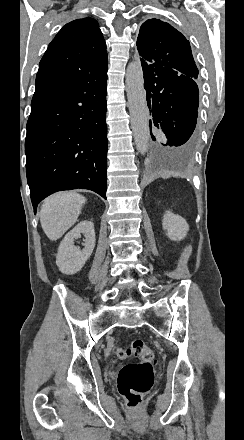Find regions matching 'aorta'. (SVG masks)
Wrapping results in <instances>:
<instances>
[{
	"label": "aorta",
	"mask_w": 244,
	"mask_h": 440,
	"mask_svg": "<svg viewBox=\"0 0 244 440\" xmlns=\"http://www.w3.org/2000/svg\"><path fill=\"white\" fill-rule=\"evenodd\" d=\"M125 82L135 145L139 153L145 154L149 146V122L143 72L139 62L128 65Z\"/></svg>",
	"instance_id": "aorta-1"
}]
</instances>
